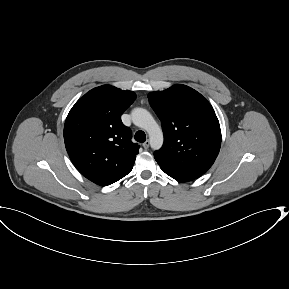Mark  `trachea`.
I'll return each instance as SVG.
<instances>
[{"label":"trachea","mask_w":289,"mask_h":289,"mask_svg":"<svg viewBox=\"0 0 289 289\" xmlns=\"http://www.w3.org/2000/svg\"><path fill=\"white\" fill-rule=\"evenodd\" d=\"M135 140L137 142H145L146 141V134L143 131H137L135 133Z\"/></svg>","instance_id":"obj_1"}]
</instances>
